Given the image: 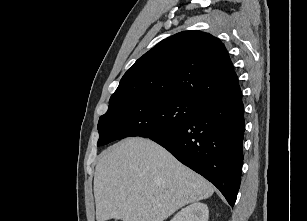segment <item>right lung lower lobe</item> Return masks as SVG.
<instances>
[{"label": "right lung lower lobe", "instance_id": "1", "mask_svg": "<svg viewBox=\"0 0 307 221\" xmlns=\"http://www.w3.org/2000/svg\"><path fill=\"white\" fill-rule=\"evenodd\" d=\"M244 131L240 92L206 103L188 122L148 138L213 183L234 206L241 180Z\"/></svg>", "mask_w": 307, "mask_h": 221}]
</instances>
